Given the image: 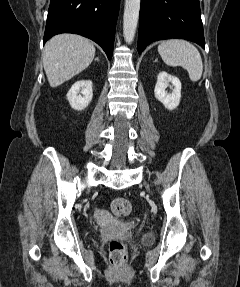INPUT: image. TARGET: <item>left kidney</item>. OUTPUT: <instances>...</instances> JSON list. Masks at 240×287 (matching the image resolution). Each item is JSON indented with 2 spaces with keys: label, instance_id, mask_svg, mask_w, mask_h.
<instances>
[{
  "label": "left kidney",
  "instance_id": "1",
  "mask_svg": "<svg viewBox=\"0 0 240 287\" xmlns=\"http://www.w3.org/2000/svg\"><path fill=\"white\" fill-rule=\"evenodd\" d=\"M172 83L174 90L171 94L167 93L166 88ZM155 98L160 101L168 110H174L178 107L181 98V82L180 80L161 71L157 77V83L154 89Z\"/></svg>",
  "mask_w": 240,
  "mask_h": 287
}]
</instances>
